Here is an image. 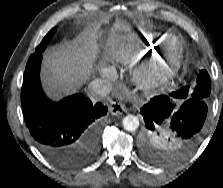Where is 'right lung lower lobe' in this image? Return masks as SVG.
I'll list each match as a JSON object with an SVG mask.
<instances>
[{
	"instance_id": "obj_1",
	"label": "right lung lower lobe",
	"mask_w": 223,
	"mask_h": 188,
	"mask_svg": "<svg viewBox=\"0 0 223 188\" xmlns=\"http://www.w3.org/2000/svg\"><path fill=\"white\" fill-rule=\"evenodd\" d=\"M41 52L33 53L26 65L21 104L26 126L41 153L54 165L75 169L87 164L98 152V119L107 113L100 103L93 106L75 94L53 102L44 94L39 73Z\"/></svg>"
}]
</instances>
